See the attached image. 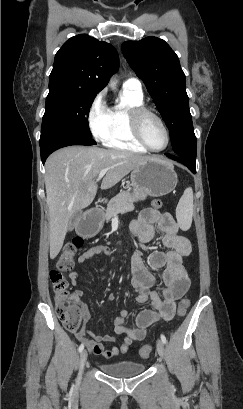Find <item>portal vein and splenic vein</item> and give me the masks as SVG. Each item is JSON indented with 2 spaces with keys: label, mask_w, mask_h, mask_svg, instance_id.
I'll list each match as a JSON object with an SVG mask.
<instances>
[{
  "label": "portal vein and splenic vein",
  "mask_w": 243,
  "mask_h": 409,
  "mask_svg": "<svg viewBox=\"0 0 243 409\" xmlns=\"http://www.w3.org/2000/svg\"><path fill=\"white\" fill-rule=\"evenodd\" d=\"M107 171H108L107 168L102 169V170L100 171V173H99V175H98V177H97V179H96V183L107 173Z\"/></svg>",
  "instance_id": "portal-vein-and-splenic-vein-1"
}]
</instances>
